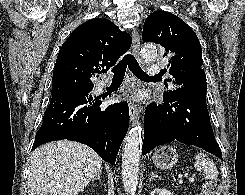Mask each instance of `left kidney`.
<instances>
[{
  "label": "left kidney",
  "mask_w": 245,
  "mask_h": 195,
  "mask_svg": "<svg viewBox=\"0 0 245 195\" xmlns=\"http://www.w3.org/2000/svg\"><path fill=\"white\" fill-rule=\"evenodd\" d=\"M151 195H173V193H171L169 190L166 189L156 188L151 192Z\"/></svg>",
  "instance_id": "obj_1"
}]
</instances>
